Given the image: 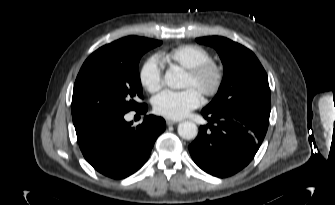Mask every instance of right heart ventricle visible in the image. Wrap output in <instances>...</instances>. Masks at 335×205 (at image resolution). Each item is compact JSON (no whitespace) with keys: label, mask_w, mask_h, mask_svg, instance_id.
Masks as SVG:
<instances>
[{"label":"right heart ventricle","mask_w":335,"mask_h":205,"mask_svg":"<svg viewBox=\"0 0 335 205\" xmlns=\"http://www.w3.org/2000/svg\"><path fill=\"white\" fill-rule=\"evenodd\" d=\"M164 61L180 66L186 70L191 69L211 59L210 53L202 46L196 44H184L161 54Z\"/></svg>","instance_id":"1"}]
</instances>
